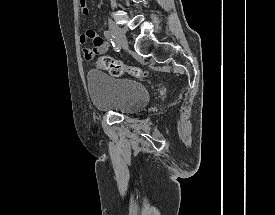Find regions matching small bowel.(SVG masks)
<instances>
[{"mask_svg":"<svg viewBox=\"0 0 275 215\" xmlns=\"http://www.w3.org/2000/svg\"><path fill=\"white\" fill-rule=\"evenodd\" d=\"M90 10L86 7L83 9V14L84 15H89ZM80 43L82 45L86 44L87 41H92L93 43V49L89 47H83L82 48V56L85 60L90 61L93 59L95 54L97 53H104L108 50L109 48V43L105 42L101 36H99L95 31L93 30H86L84 33L80 35Z\"/></svg>","mask_w":275,"mask_h":215,"instance_id":"c3829d8e","label":"small bowel"}]
</instances>
